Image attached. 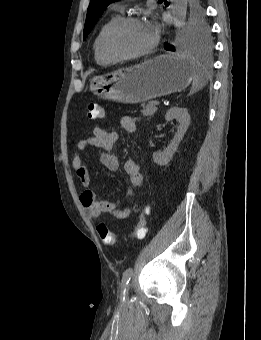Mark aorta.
<instances>
[{
  "instance_id": "1",
  "label": "aorta",
  "mask_w": 261,
  "mask_h": 340,
  "mask_svg": "<svg viewBox=\"0 0 261 340\" xmlns=\"http://www.w3.org/2000/svg\"><path fill=\"white\" fill-rule=\"evenodd\" d=\"M171 10L174 16V25L181 28L184 25V18L187 10V0H171Z\"/></svg>"
}]
</instances>
